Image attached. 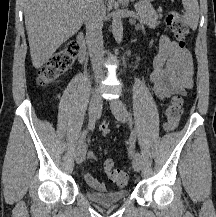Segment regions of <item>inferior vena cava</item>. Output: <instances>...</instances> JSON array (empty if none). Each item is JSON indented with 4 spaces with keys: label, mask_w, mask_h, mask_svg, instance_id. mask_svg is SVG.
<instances>
[{
    "label": "inferior vena cava",
    "mask_w": 216,
    "mask_h": 217,
    "mask_svg": "<svg viewBox=\"0 0 216 217\" xmlns=\"http://www.w3.org/2000/svg\"><path fill=\"white\" fill-rule=\"evenodd\" d=\"M105 15V6L103 0H87L86 4V40L95 72L96 82L104 77L102 69L103 50V18Z\"/></svg>",
    "instance_id": "inferior-vena-cava-1"
}]
</instances>
